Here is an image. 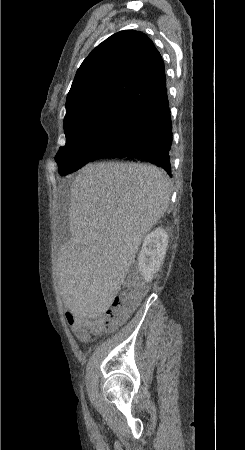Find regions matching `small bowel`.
Wrapping results in <instances>:
<instances>
[{
    "label": "small bowel",
    "mask_w": 245,
    "mask_h": 450,
    "mask_svg": "<svg viewBox=\"0 0 245 450\" xmlns=\"http://www.w3.org/2000/svg\"><path fill=\"white\" fill-rule=\"evenodd\" d=\"M77 285L76 280L71 281V286L75 287ZM65 319L67 323L70 325L71 329L75 333L76 337L81 340H87L88 335H83L77 330V325L82 321V318L79 314L76 313L74 306L71 302H68L66 305V311H65Z\"/></svg>",
    "instance_id": "obj_1"
}]
</instances>
